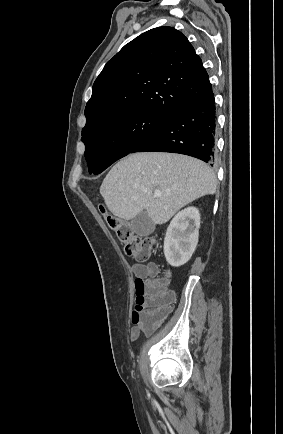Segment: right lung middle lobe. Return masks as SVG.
Here are the masks:
<instances>
[{
  "label": "right lung middle lobe",
  "mask_w": 283,
  "mask_h": 434,
  "mask_svg": "<svg viewBox=\"0 0 283 434\" xmlns=\"http://www.w3.org/2000/svg\"><path fill=\"white\" fill-rule=\"evenodd\" d=\"M171 116L152 111H135L107 119L82 130L89 173L99 174L128 155Z\"/></svg>",
  "instance_id": "obj_1"
}]
</instances>
